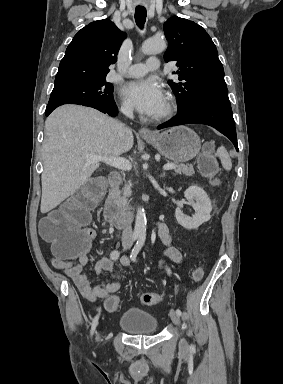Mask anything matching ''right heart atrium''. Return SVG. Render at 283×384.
Listing matches in <instances>:
<instances>
[{"label":"right heart atrium","instance_id":"right-heart-atrium-1","mask_svg":"<svg viewBox=\"0 0 283 384\" xmlns=\"http://www.w3.org/2000/svg\"><path fill=\"white\" fill-rule=\"evenodd\" d=\"M120 110L124 114H129L131 112V108L126 101H122L120 104Z\"/></svg>","mask_w":283,"mask_h":384}]
</instances>
